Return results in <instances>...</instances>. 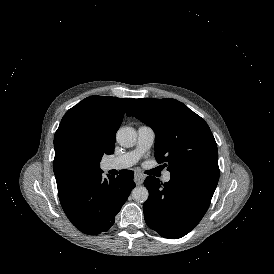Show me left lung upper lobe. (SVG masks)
I'll return each instance as SVG.
<instances>
[{"label":"left lung upper lobe","instance_id":"obj_1","mask_svg":"<svg viewBox=\"0 0 274 274\" xmlns=\"http://www.w3.org/2000/svg\"><path fill=\"white\" fill-rule=\"evenodd\" d=\"M155 132V158L171 176L217 183L218 150L207 123L183 103L171 99H136L127 111Z\"/></svg>","mask_w":274,"mask_h":274}]
</instances>
